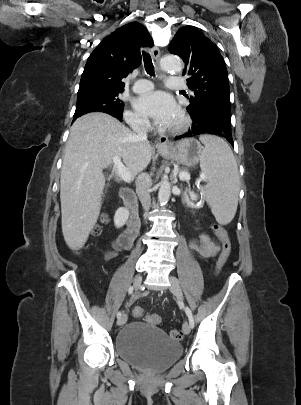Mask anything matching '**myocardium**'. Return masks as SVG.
I'll return each instance as SVG.
<instances>
[{
  "label": "myocardium",
  "instance_id": "1",
  "mask_svg": "<svg viewBox=\"0 0 301 405\" xmlns=\"http://www.w3.org/2000/svg\"><path fill=\"white\" fill-rule=\"evenodd\" d=\"M189 125H190L189 118L186 117L185 115H181L177 120V122L173 126L166 128L165 131L169 134H180L186 131Z\"/></svg>",
  "mask_w": 301,
  "mask_h": 405
}]
</instances>
